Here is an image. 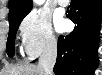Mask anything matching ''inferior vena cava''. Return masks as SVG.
<instances>
[{"label": "inferior vena cava", "instance_id": "602c4592", "mask_svg": "<svg viewBox=\"0 0 102 75\" xmlns=\"http://www.w3.org/2000/svg\"><path fill=\"white\" fill-rule=\"evenodd\" d=\"M57 58V41L51 38L39 59V66L43 68L46 75H53V67Z\"/></svg>", "mask_w": 102, "mask_h": 75}]
</instances>
